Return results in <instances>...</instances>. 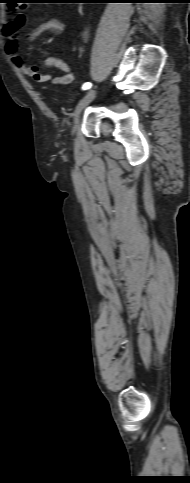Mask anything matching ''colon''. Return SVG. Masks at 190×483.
Here are the masks:
<instances>
[{
    "mask_svg": "<svg viewBox=\"0 0 190 483\" xmlns=\"http://www.w3.org/2000/svg\"><path fill=\"white\" fill-rule=\"evenodd\" d=\"M24 3H26L25 1L23 0H13V1H10V3H8L9 5V10L11 12H18L21 10L22 6L25 5Z\"/></svg>",
    "mask_w": 190,
    "mask_h": 483,
    "instance_id": "colon-1",
    "label": "colon"
}]
</instances>
